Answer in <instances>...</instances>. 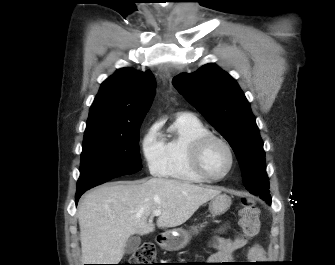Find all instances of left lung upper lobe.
Returning <instances> with one entry per match:
<instances>
[{
  "mask_svg": "<svg viewBox=\"0 0 335 265\" xmlns=\"http://www.w3.org/2000/svg\"><path fill=\"white\" fill-rule=\"evenodd\" d=\"M172 83L228 141L239 161L246 189L270 203L263 141L237 82L210 63L194 73L179 74Z\"/></svg>",
  "mask_w": 335,
  "mask_h": 265,
  "instance_id": "obj_1",
  "label": "left lung upper lobe"
}]
</instances>
